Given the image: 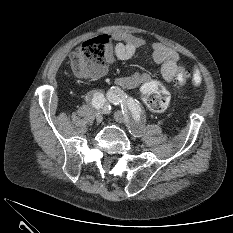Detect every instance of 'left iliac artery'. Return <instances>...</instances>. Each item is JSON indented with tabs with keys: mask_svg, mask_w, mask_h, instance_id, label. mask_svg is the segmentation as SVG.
I'll list each match as a JSON object with an SVG mask.
<instances>
[{
	"mask_svg": "<svg viewBox=\"0 0 233 233\" xmlns=\"http://www.w3.org/2000/svg\"><path fill=\"white\" fill-rule=\"evenodd\" d=\"M107 99L114 105H121L122 109L127 108L131 111L132 116L138 124L141 123V110L135 100L128 97L120 88L111 87L107 93Z\"/></svg>",
	"mask_w": 233,
	"mask_h": 233,
	"instance_id": "44dca946",
	"label": "left iliac artery"
}]
</instances>
